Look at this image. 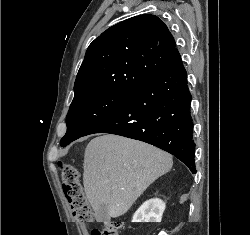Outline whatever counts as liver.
Listing matches in <instances>:
<instances>
[{
  "instance_id": "liver-1",
  "label": "liver",
  "mask_w": 250,
  "mask_h": 235,
  "mask_svg": "<svg viewBox=\"0 0 250 235\" xmlns=\"http://www.w3.org/2000/svg\"><path fill=\"white\" fill-rule=\"evenodd\" d=\"M83 166L84 190L98 221L102 204L110 217L125 214L150 184L171 170L173 160L150 144L106 134L88 143Z\"/></svg>"
}]
</instances>
